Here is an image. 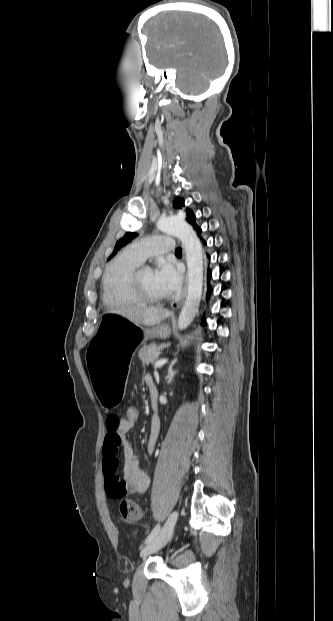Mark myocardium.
<instances>
[{
	"instance_id": "myocardium-1",
	"label": "myocardium",
	"mask_w": 333,
	"mask_h": 621,
	"mask_svg": "<svg viewBox=\"0 0 333 621\" xmlns=\"http://www.w3.org/2000/svg\"><path fill=\"white\" fill-rule=\"evenodd\" d=\"M147 267H138L130 276L128 282V290L130 294L140 303L160 304L167 300V297H154L144 291L141 286V274L147 270Z\"/></svg>"
}]
</instances>
